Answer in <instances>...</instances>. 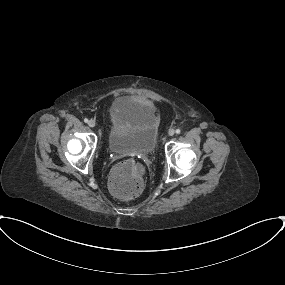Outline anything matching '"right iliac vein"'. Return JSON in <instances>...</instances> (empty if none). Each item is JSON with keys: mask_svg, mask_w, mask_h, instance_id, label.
Masks as SVG:
<instances>
[{"mask_svg": "<svg viewBox=\"0 0 285 285\" xmlns=\"http://www.w3.org/2000/svg\"><path fill=\"white\" fill-rule=\"evenodd\" d=\"M88 125H89V127L94 128L96 123L94 120L91 119V120H89Z\"/></svg>", "mask_w": 285, "mask_h": 285, "instance_id": "63e3f726", "label": "right iliac vein"}]
</instances>
